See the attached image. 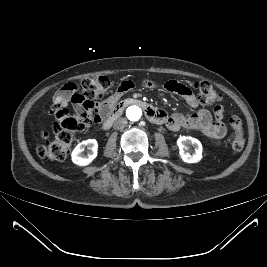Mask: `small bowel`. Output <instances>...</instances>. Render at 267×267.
I'll use <instances>...</instances> for the list:
<instances>
[{"instance_id":"1","label":"small bowel","mask_w":267,"mask_h":267,"mask_svg":"<svg viewBox=\"0 0 267 267\" xmlns=\"http://www.w3.org/2000/svg\"><path fill=\"white\" fill-rule=\"evenodd\" d=\"M135 82L132 80L123 81L117 90L101 103L91 101H81L77 97V85L75 83H67L60 88L55 96L54 101L63 107H73L75 113L79 117H84L92 120V124H98L113 108L123 94L135 87ZM148 87H161L163 90L176 94L182 97L186 103L193 107H198L197 96L192 89L176 80H168L162 84L154 81H146ZM163 112V111H162ZM224 109L222 106L215 108L214 114L206 109H198L192 114L173 113L167 115L165 112V124L172 131H178L182 127L199 130L202 135L212 142L219 143L226 135L227 129L222 122ZM91 125V124H90ZM87 125L86 127H88Z\"/></svg>"}]
</instances>
